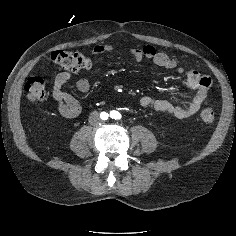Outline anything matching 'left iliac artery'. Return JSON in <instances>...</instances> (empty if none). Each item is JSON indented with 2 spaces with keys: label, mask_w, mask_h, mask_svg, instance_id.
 <instances>
[{
  "label": "left iliac artery",
  "mask_w": 236,
  "mask_h": 236,
  "mask_svg": "<svg viewBox=\"0 0 236 236\" xmlns=\"http://www.w3.org/2000/svg\"><path fill=\"white\" fill-rule=\"evenodd\" d=\"M111 118H114V119H121V114L117 111H112L111 112Z\"/></svg>",
  "instance_id": "1"
}]
</instances>
